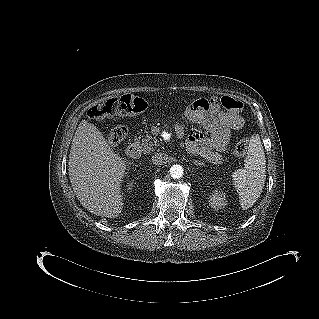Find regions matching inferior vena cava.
Segmentation results:
<instances>
[{
	"label": "inferior vena cava",
	"mask_w": 319,
	"mask_h": 319,
	"mask_svg": "<svg viewBox=\"0 0 319 319\" xmlns=\"http://www.w3.org/2000/svg\"><path fill=\"white\" fill-rule=\"evenodd\" d=\"M167 155L162 153V152H159V153H155L153 156H152V163L154 165H163L167 162Z\"/></svg>",
	"instance_id": "inferior-vena-cava-1"
}]
</instances>
